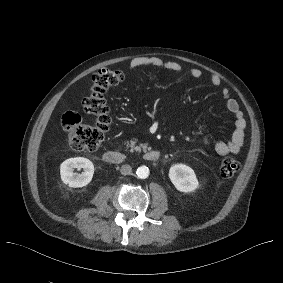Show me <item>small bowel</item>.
<instances>
[{
	"mask_svg": "<svg viewBox=\"0 0 283 283\" xmlns=\"http://www.w3.org/2000/svg\"><path fill=\"white\" fill-rule=\"evenodd\" d=\"M141 67H156L166 69L174 74H180L183 70L182 65L175 61H166L157 56L137 57L130 61L129 69L135 70ZM190 75L199 79L203 73L198 68H192ZM209 81L213 86H219L221 80L216 75L209 76ZM221 96L226 101L228 111L234 116V130L231 138L227 141H218L215 144V151L219 155L237 154L240 152L245 136L246 121L240 110L238 102L230 96V92L226 87L221 89ZM204 143H208V138H203Z\"/></svg>",
	"mask_w": 283,
	"mask_h": 283,
	"instance_id": "small-bowel-1",
	"label": "small bowel"
}]
</instances>
